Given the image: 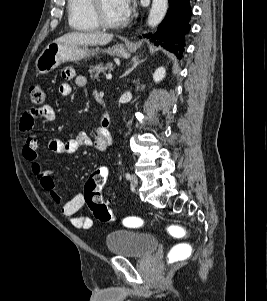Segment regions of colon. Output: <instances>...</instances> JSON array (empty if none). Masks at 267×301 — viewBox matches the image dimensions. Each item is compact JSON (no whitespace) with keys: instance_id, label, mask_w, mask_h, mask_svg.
I'll return each instance as SVG.
<instances>
[{"instance_id":"5ec220e1","label":"colon","mask_w":267,"mask_h":301,"mask_svg":"<svg viewBox=\"0 0 267 301\" xmlns=\"http://www.w3.org/2000/svg\"><path fill=\"white\" fill-rule=\"evenodd\" d=\"M31 102L40 106L45 102L46 95L42 87L33 85L29 89ZM110 176V170L107 166H102L96 169L85 184L84 201L92 211L94 217L101 222L109 223L113 220V212L109 205L104 201L102 189L105 186ZM126 224L130 227H140L143 225V220L137 216H131L126 219ZM169 233L177 238L183 237L186 234V229L178 224L169 227ZM192 248L189 244L180 243L174 245L167 255V261L170 264L184 261L190 257Z\"/></svg>"}]
</instances>
